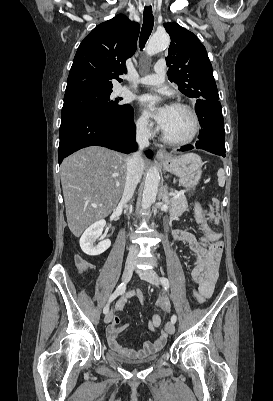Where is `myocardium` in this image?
I'll use <instances>...</instances> for the list:
<instances>
[{"mask_svg":"<svg viewBox=\"0 0 273 401\" xmlns=\"http://www.w3.org/2000/svg\"><path fill=\"white\" fill-rule=\"evenodd\" d=\"M173 107L179 108L183 111H185L193 120L194 123V129L192 134L185 139H177V138H173L170 137L163 129H162V138L163 140L168 143V144H172V145H185V144H189L192 141H194L197 136L200 133L201 130V120L200 117L198 116V114L189 106L183 103H175L173 104Z\"/></svg>","mask_w":273,"mask_h":401,"instance_id":"1","label":"myocardium"}]
</instances>
